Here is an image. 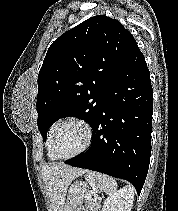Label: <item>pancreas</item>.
<instances>
[{
    "mask_svg": "<svg viewBox=\"0 0 178 211\" xmlns=\"http://www.w3.org/2000/svg\"><path fill=\"white\" fill-rule=\"evenodd\" d=\"M87 205H88L89 207L93 208L92 211H97V208H99V203H98V201H97L96 198L89 199V200L87 201Z\"/></svg>",
    "mask_w": 178,
    "mask_h": 211,
    "instance_id": "1",
    "label": "pancreas"
}]
</instances>
